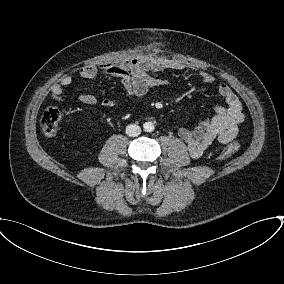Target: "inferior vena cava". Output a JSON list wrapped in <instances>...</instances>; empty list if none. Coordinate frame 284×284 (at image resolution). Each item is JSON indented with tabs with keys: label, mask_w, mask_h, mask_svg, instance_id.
Returning a JSON list of instances; mask_svg holds the SVG:
<instances>
[{
	"label": "inferior vena cava",
	"mask_w": 284,
	"mask_h": 284,
	"mask_svg": "<svg viewBox=\"0 0 284 284\" xmlns=\"http://www.w3.org/2000/svg\"><path fill=\"white\" fill-rule=\"evenodd\" d=\"M141 133V128L136 124H130L126 127V134L130 137L138 136Z\"/></svg>",
	"instance_id": "obj_1"
}]
</instances>
